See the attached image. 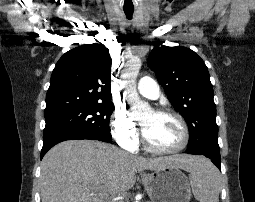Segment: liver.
<instances>
[{"label":"liver","mask_w":255,"mask_h":202,"mask_svg":"<svg viewBox=\"0 0 255 202\" xmlns=\"http://www.w3.org/2000/svg\"><path fill=\"white\" fill-rule=\"evenodd\" d=\"M192 155L145 158L93 140L57 144L41 163L42 202H104L109 194L131 189L136 173L167 167L191 171L201 160Z\"/></svg>","instance_id":"obj_1"}]
</instances>
